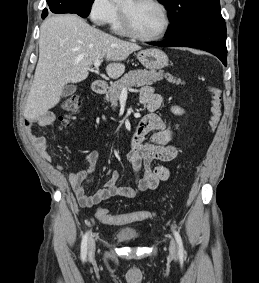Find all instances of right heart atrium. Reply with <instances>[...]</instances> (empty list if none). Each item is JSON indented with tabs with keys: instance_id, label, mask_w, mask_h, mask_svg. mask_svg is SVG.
I'll list each match as a JSON object with an SVG mask.
<instances>
[{
	"instance_id": "1",
	"label": "right heart atrium",
	"mask_w": 259,
	"mask_h": 283,
	"mask_svg": "<svg viewBox=\"0 0 259 283\" xmlns=\"http://www.w3.org/2000/svg\"><path fill=\"white\" fill-rule=\"evenodd\" d=\"M117 7L111 0H92L89 8V17L97 26H105L112 22Z\"/></svg>"
}]
</instances>
